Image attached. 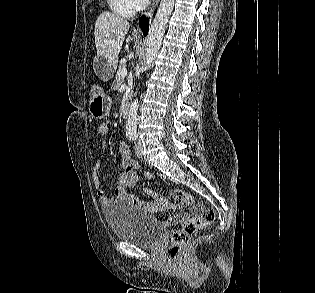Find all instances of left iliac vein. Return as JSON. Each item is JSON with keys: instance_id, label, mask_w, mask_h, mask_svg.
<instances>
[{"instance_id": "1", "label": "left iliac vein", "mask_w": 315, "mask_h": 293, "mask_svg": "<svg viewBox=\"0 0 315 293\" xmlns=\"http://www.w3.org/2000/svg\"><path fill=\"white\" fill-rule=\"evenodd\" d=\"M134 150H135L137 157H139V158L143 157V146H142L141 141H137L135 143Z\"/></svg>"}]
</instances>
